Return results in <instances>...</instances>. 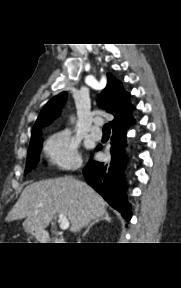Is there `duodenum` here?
Instances as JSON below:
<instances>
[{
	"instance_id": "duodenum-1",
	"label": "duodenum",
	"mask_w": 181,
	"mask_h": 288,
	"mask_svg": "<svg viewBox=\"0 0 181 288\" xmlns=\"http://www.w3.org/2000/svg\"><path fill=\"white\" fill-rule=\"evenodd\" d=\"M37 239L44 243H59L61 240L59 238L52 237L47 232H38L37 233Z\"/></svg>"
}]
</instances>
